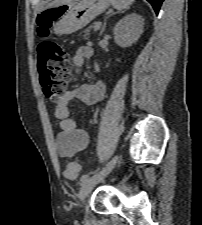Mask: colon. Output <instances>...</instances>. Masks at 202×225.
I'll use <instances>...</instances> for the list:
<instances>
[{
  "instance_id": "1",
  "label": "colon",
  "mask_w": 202,
  "mask_h": 225,
  "mask_svg": "<svg viewBox=\"0 0 202 225\" xmlns=\"http://www.w3.org/2000/svg\"><path fill=\"white\" fill-rule=\"evenodd\" d=\"M56 12L54 9L39 12L37 25L39 36L45 38L49 27L54 22ZM39 80L44 96L49 103L58 102L65 93L71 78L72 64L69 55L56 42L42 40L38 44ZM80 165L69 163L65 168L68 178H75L80 173Z\"/></svg>"
}]
</instances>
